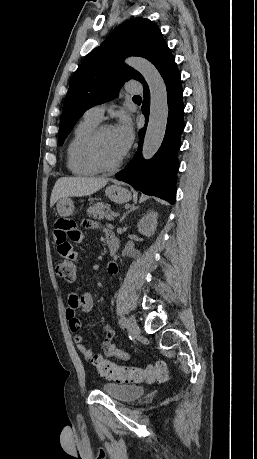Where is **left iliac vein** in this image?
I'll list each match as a JSON object with an SVG mask.
<instances>
[{
  "mask_svg": "<svg viewBox=\"0 0 257 459\" xmlns=\"http://www.w3.org/2000/svg\"><path fill=\"white\" fill-rule=\"evenodd\" d=\"M129 330H130V333L133 337H137L140 335L141 333V330L135 320V318L133 316H130L129 319Z\"/></svg>",
  "mask_w": 257,
  "mask_h": 459,
  "instance_id": "left-iliac-vein-1",
  "label": "left iliac vein"
}]
</instances>
